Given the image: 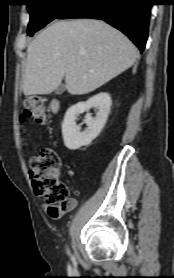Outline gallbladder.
<instances>
[{
	"label": "gallbladder",
	"mask_w": 174,
	"mask_h": 278,
	"mask_svg": "<svg viewBox=\"0 0 174 278\" xmlns=\"http://www.w3.org/2000/svg\"><path fill=\"white\" fill-rule=\"evenodd\" d=\"M65 91V86L63 84H61L56 90H55V94L57 95H61L62 93H64Z\"/></svg>",
	"instance_id": "gallbladder-1"
}]
</instances>
